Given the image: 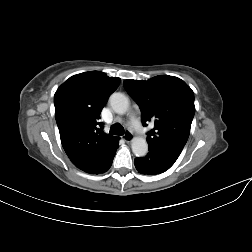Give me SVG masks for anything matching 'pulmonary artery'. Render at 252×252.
<instances>
[{"label": "pulmonary artery", "mask_w": 252, "mask_h": 252, "mask_svg": "<svg viewBox=\"0 0 252 252\" xmlns=\"http://www.w3.org/2000/svg\"><path fill=\"white\" fill-rule=\"evenodd\" d=\"M133 125L136 129H142L140 122L137 120L136 117H133L132 119Z\"/></svg>", "instance_id": "obj_1"}]
</instances>
